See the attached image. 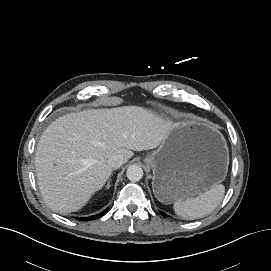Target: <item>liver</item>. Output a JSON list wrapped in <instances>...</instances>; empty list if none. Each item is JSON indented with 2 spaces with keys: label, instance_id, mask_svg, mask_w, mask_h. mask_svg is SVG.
<instances>
[{
  "label": "liver",
  "instance_id": "6515ba94",
  "mask_svg": "<svg viewBox=\"0 0 271 271\" xmlns=\"http://www.w3.org/2000/svg\"><path fill=\"white\" fill-rule=\"evenodd\" d=\"M173 124L150 110L127 106L71 113L43 132L36 149L38 185L58 213L80 210L111 176L108 159L157 148Z\"/></svg>",
  "mask_w": 271,
  "mask_h": 271
}]
</instances>
